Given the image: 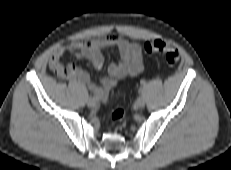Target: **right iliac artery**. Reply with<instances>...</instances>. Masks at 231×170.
<instances>
[{
  "mask_svg": "<svg viewBox=\"0 0 231 170\" xmlns=\"http://www.w3.org/2000/svg\"><path fill=\"white\" fill-rule=\"evenodd\" d=\"M93 99L98 100L97 98L93 97Z\"/></svg>",
  "mask_w": 231,
  "mask_h": 170,
  "instance_id": "obj_1",
  "label": "right iliac artery"
}]
</instances>
